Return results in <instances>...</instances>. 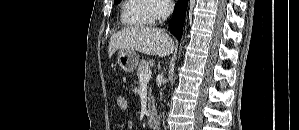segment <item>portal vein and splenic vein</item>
I'll return each instance as SVG.
<instances>
[{
    "label": "portal vein and splenic vein",
    "instance_id": "18ae733b",
    "mask_svg": "<svg viewBox=\"0 0 299 130\" xmlns=\"http://www.w3.org/2000/svg\"><path fill=\"white\" fill-rule=\"evenodd\" d=\"M150 78H151V70H147L141 75L140 81L148 82Z\"/></svg>",
    "mask_w": 299,
    "mask_h": 130
}]
</instances>
